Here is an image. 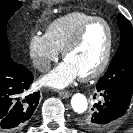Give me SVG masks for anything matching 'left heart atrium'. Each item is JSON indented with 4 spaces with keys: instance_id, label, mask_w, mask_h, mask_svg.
Returning a JSON list of instances; mask_svg holds the SVG:
<instances>
[{
    "instance_id": "left-heart-atrium-1",
    "label": "left heart atrium",
    "mask_w": 133,
    "mask_h": 133,
    "mask_svg": "<svg viewBox=\"0 0 133 133\" xmlns=\"http://www.w3.org/2000/svg\"><path fill=\"white\" fill-rule=\"evenodd\" d=\"M77 77L76 70L67 61H64L46 74L40 83L47 87L60 89L68 86Z\"/></svg>"
}]
</instances>
